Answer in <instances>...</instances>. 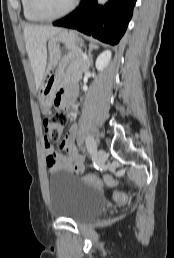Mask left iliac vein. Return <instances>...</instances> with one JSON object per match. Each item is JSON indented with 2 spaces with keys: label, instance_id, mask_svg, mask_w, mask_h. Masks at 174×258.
<instances>
[{
  "label": "left iliac vein",
  "instance_id": "1",
  "mask_svg": "<svg viewBox=\"0 0 174 258\" xmlns=\"http://www.w3.org/2000/svg\"><path fill=\"white\" fill-rule=\"evenodd\" d=\"M96 157H97L98 162L104 163L107 160L108 155L105 150L99 149L96 152Z\"/></svg>",
  "mask_w": 174,
  "mask_h": 258
}]
</instances>
